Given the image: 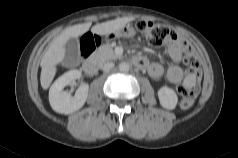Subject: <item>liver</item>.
<instances>
[{"label": "liver", "mask_w": 238, "mask_h": 158, "mask_svg": "<svg viewBox=\"0 0 238 158\" xmlns=\"http://www.w3.org/2000/svg\"><path fill=\"white\" fill-rule=\"evenodd\" d=\"M132 18L122 17L115 20L96 24L92 27V33L97 35H107L124 27ZM91 23L77 24L66 28L57 36L45 52L41 60L40 83L44 90L48 89L57 71V65L65 57V44L69 38H77L89 31Z\"/></svg>", "instance_id": "liver-1"}]
</instances>
